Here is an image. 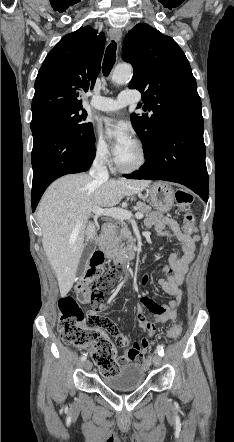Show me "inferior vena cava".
I'll return each instance as SVG.
<instances>
[{
	"mask_svg": "<svg viewBox=\"0 0 234 442\" xmlns=\"http://www.w3.org/2000/svg\"><path fill=\"white\" fill-rule=\"evenodd\" d=\"M105 154L106 150H100L97 152L96 158L89 172L92 177L104 181L109 178L107 167L104 164Z\"/></svg>",
	"mask_w": 234,
	"mask_h": 442,
	"instance_id": "obj_1",
	"label": "inferior vena cava"
}]
</instances>
